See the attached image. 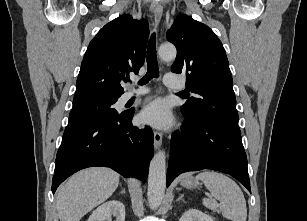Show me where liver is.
Returning a JSON list of instances; mask_svg holds the SVG:
<instances>
[{"mask_svg": "<svg viewBox=\"0 0 307 221\" xmlns=\"http://www.w3.org/2000/svg\"><path fill=\"white\" fill-rule=\"evenodd\" d=\"M119 178L117 172L103 167L88 168L74 174L57 192L56 207L60 221H80L114 193Z\"/></svg>", "mask_w": 307, "mask_h": 221, "instance_id": "liver-1", "label": "liver"}]
</instances>
